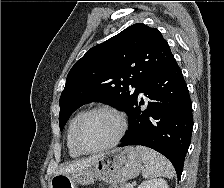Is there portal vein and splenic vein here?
Returning <instances> with one entry per match:
<instances>
[{"label": "portal vein and splenic vein", "instance_id": "18ae733b", "mask_svg": "<svg viewBox=\"0 0 224 188\" xmlns=\"http://www.w3.org/2000/svg\"><path fill=\"white\" fill-rule=\"evenodd\" d=\"M126 188H133V185H131V184H127V185H126Z\"/></svg>", "mask_w": 224, "mask_h": 188}]
</instances>
